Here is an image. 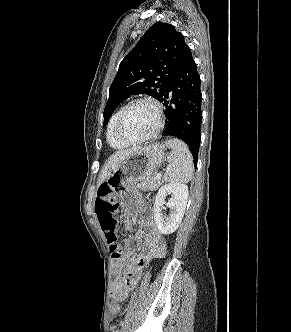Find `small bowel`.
Returning <instances> with one entry per match:
<instances>
[{
  "instance_id": "c3829d8e",
  "label": "small bowel",
  "mask_w": 291,
  "mask_h": 332,
  "mask_svg": "<svg viewBox=\"0 0 291 332\" xmlns=\"http://www.w3.org/2000/svg\"><path fill=\"white\" fill-rule=\"evenodd\" d=\"M104 188H109V186L107 184H102L98 189L97 196ZM124 224L127 231L132 228V222L130 220H125ZM134 238L135 240H142L144 242L145 252L137 254L129 247L119 250V257L115 259L113 264L116 278L112 286V297L116 301H123L127 297L128 293L135 285L142 269L150 260L161 258L166 252V242L164 237L156 229L153 220L150 218L141 219L140 228ZM126 261H130L131 264L126 273L121 275L120 272Z\"/></svg>"
}]
</instances>
